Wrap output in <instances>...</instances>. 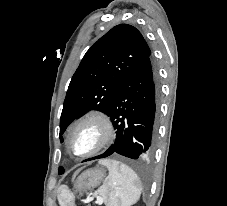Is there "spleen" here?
I'll use <instances>...</instances> for the list:
<instances>
[{"label":"spleen","instance_id":"obj_1","mask_svg":"<svg viewBox=\"0 0 227 206\" xmlns=\"http://www.w3.org/2000/svg\"><path fill=\"white\" fill-rule=\"evenodd\" d=\"M109 170V175L96 194L102 195L107 206H131L141 195V181L127 165L116 160L100 162ZM64 203H71L73 196L67 189L60 190Z\"/></svg>","mask_w":227,"mask_h":206}]
</instances>
